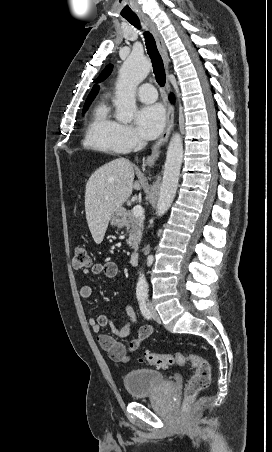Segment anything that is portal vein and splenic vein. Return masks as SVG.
<instances>
[{"instance_id":"obj_1","label":"portal vein and splenic vein","mask_w":272,"mask_h":452,"mask_svg":"<svg viewBox=\"0 0 272 452\" xmlns=\"http://www.w3.org/2000/svg\"><path fill=\"white\" fill-rule=\"evenodd\" d=\"M132 213L135 217H140L143 215L144 211L141 205H136L132 209Z\"/></svg>"}]
</instances>
